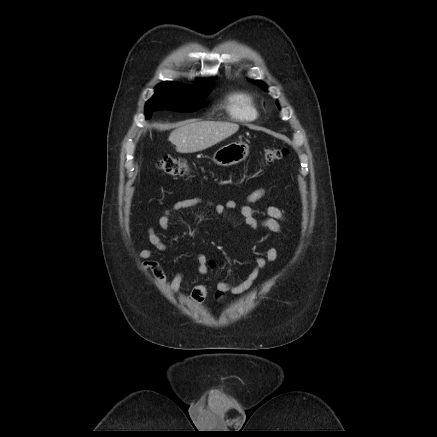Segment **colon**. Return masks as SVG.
<instances>
[{
  "label": "colon",
  "mask_w": 437,
  "mask_h": 437,
  "mask_svg": "<svg viewBox=\"0 0 437 437\" xmlns=\"http://www.w3.org/2000/svg\"><path fill=\"white\" fill-rule=\"evenodd\" d=\"M287 154L283 148H265L263 158L266 162H274L282 159ZM157 168L168 175L184 176L188 173L189 168L186 161L179 157L165 156L157 162Z\"/></svg>",
  "instance_id": "obj_1"
}]
</instances>
